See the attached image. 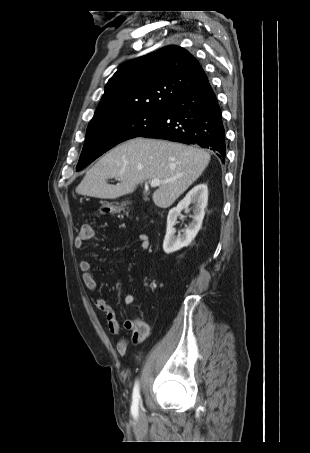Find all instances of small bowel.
I'll list each match as a JSON object with an SVG mask.
<instances>
[{
    "label": "small bowel",
    "mask_w": 310,
    "mask_h": 453,
    "mask_svg": "<svg viewBox=\"0 0 310 453\" xmlns=\"http://www.w3.org/2000/svg\"><path fill=\"white\" fill-rule=\"evenodd\" d=\"M140 246L142 250H147L149 248V238L147 234H139ZM86 238L82 235H78L74 239V246L76 248H81L84 245ZM80 271L82 273V281L85 287L90 292H95L97 289V282L92 273V264L89 260H82L79 264ZM134 302V296L131 293H126L124 295V303L126 305H131ZM94 304L98 311L104 314L105 322L108 331L117 335L121 331V326L116 318L115 312L108 302L100 297L94 299ZM123 328L126 330L132 331V342L135 344L143 342L150 333V327L148 323L142 319H127L123 322ZM128 340L126 338H121L116 345L117 353L120 356H125L127 353Z\"/></svg>",
    "instance_id": "small-bowel-1"
}]
</instances>
